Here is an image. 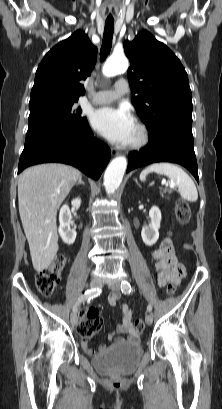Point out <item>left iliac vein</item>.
Returning <instances> with one entry per match:
<instances>
[{
	"mask_svg": "<svg viewBox=\"0 0 222 409\" xmlns=\"http://www.w3.org/2000/svg\"><path fill=\"white\" fill-rule=\"evenodd\" d=\"M108 286L114 292H119L120 291V282L118 280H114V281L108 283ZM145 322H146L147 325L152 324V322H153L152 314H147L146 315Z\"/></svg>",
	"mask_w": 222,
	"mask_h": 409,
	"instance_id": "left-iliac-vein-1",
	"label": "left iliac vein"
}]
</instances>
